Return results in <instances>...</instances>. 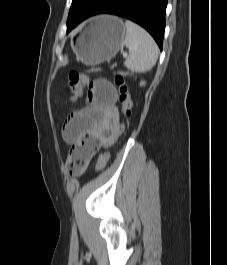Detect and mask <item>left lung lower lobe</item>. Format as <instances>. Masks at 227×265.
Wrapping results in <instances>:
<instances>
[{
  "label": "left lung lower lobe",
  "mask_w": 227,
  "mask_h": 265,
  "mask_svg": "<svg viewBox=\"0 0 227 265\" xmlns=\"http://www.w3.org/2000/svg\"><path fill=\"white\" fill-rule=\"evenodd\" d=\"M166 6L167 0H105L90 16L113 14L132 20L144 27L162 50Z\"/></svg>",
  "instance_id": "left-lung-lower-lobe-1"
}]
</instances>
